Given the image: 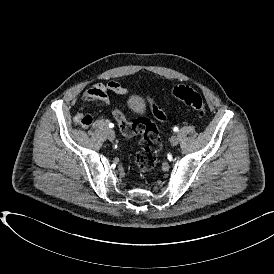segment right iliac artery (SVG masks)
<instances>
[{"label": "right iliac artery", "mask_w": 274, "mask_h": 274, "mask_svg": "<svg viewBox=\"0 0 274 274\" xmlns=\"http://www.w3.org/2000/svg\"><path fill=\"white\" fill-rule=\"evenodd\" d=\"M110 128H113L114 127V124L113 123H109L108 125Z\"/></svg>", "instance_id": "1"}]
</instances>
